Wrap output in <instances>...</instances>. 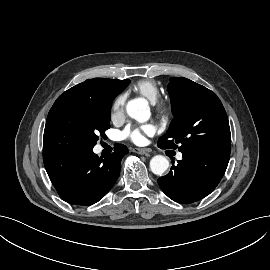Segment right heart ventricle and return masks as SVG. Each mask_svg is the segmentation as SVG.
I'll use <instances>...</instances> for the list:
<instances>
[{"instance_id":"e07e8e85","label":"right heart ventricle","mask_w":270,"mask_h":270,"mask_svg":"<svg viewBox=\"0 0 270 270\" xmlns=\"http://www.w3.org/2000/svg\"><path fill=\"white\" fill-rule=\"evenodd\" d=\"M134 90L146 99H148L151 103H155L161 94V90L158 84L151 79L139 80L134 85Z\"/></svg>"}]
</instances>
